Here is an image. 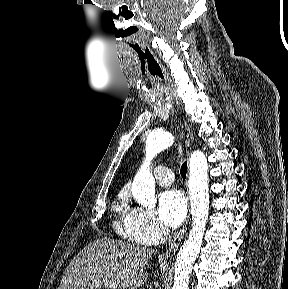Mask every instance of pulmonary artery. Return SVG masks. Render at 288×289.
<instances>
[{
  "mask_svg": "<svg viewBox=\"0 0 288 289\" xmlns=\"http://www.w3.org/2000/svg\"><path fill=\"white\" fill-rule=\"evenodd\" d=\"M154 176L158 184L167 186L173 183L174 174L173 172L164 166H158L154 170Z\"/></svg>",
  "mask_w": 288,
  "mask_h": 289,
  "instance_id": "e3ab8cb5",
  "label": "pulmonary artery"
}]
</instances>
